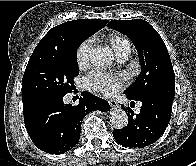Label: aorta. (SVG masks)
I'll list each match as a JSON object with an SVG mask.
<instances>
[{
	"label": "aorta",
	"instance_id": "1",
	"mask_svg": "<svg viewBox=\"0 0 196 166\" xmlns=\"http://www.w3.org/2000/svg\"><path fill=\"white\" fill-rule=\"evenodd\" d=\"M90 61L97 68L110 67L114 62V55L109 48L96 47L90 52ZM110 122L116 129H122L128 124V116L121 108L110 111Z\"/></svg>",
	"mask_w": 196,
	"mask_h": 166
}]
</instances>
